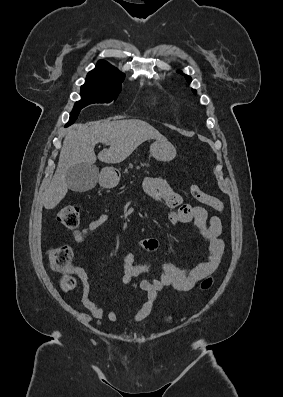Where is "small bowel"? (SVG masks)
I'll return each instance as SVG.
<instances>
[{
  "mask_svg": "<svg viewBox=\"0 0 283 397\" xmlns=\"http://www.w3.org/2000/svg\"><path fill=\"white\" fill-rule=\"evenodd\" d=\"M145 194L157 202L166 206L169 211L168 219L173 224L194 223L199 229L205 241V258L189 268H181L174 264H162L161 275L158 279H143L135 283L134 288H139L146 293L147 300L134 315V322H141L147 318L153 308L158 294L166 288L187 291L192 289L201 279L213 273L220 264L224 252V242L221 239L222 224L217 216H209L202 207L192 206L183 202L178 194L164 179L160 177H146L143 181ZM109 219V215L103 213L90 221L86 226L72 232V238L77 243L85 241L88 235L98 230ZM148 251L157 248L155 239H146L142 242ZM123 275L120 278L122 284L130 283L134 278L148 274L152 270L149 262H137L133 253H128L123 258ZM74 274L80 281L82 288V303L95 319H101L105 311L99 307L91 298V290L88 276L84 269L75 267ZM111 322H118V314L115 310L107 313Z\"/></svg>",
  "mask_w": 283,
  "mask_h": 397,
  "instance_id": "1",
  "label": "small bowel"
}]
</instances>
